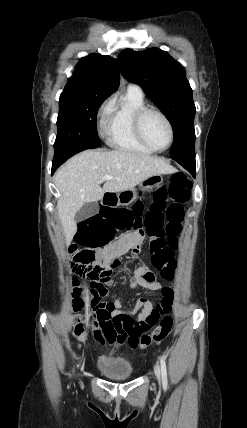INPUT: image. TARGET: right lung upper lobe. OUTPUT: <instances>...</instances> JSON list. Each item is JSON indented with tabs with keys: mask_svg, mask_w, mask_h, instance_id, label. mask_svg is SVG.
<instances>
[{
	"mask_svg": "<svg viewBox=\"0 0 247 428\" xmlns=\"http://www.w3.org/2000/svg\"><path fill=\"white\" fill-rule=\"evenodd\" d=\"M117 61L110 56L91 54L82 58L61 95L90 93L110 96L119 86Z\"/></svg>",
	"mask_w": 247,
	"mask_h": 428,
	"instance_id": "obj_1",
	"label": "right lung upper lobe"
}]
</instances>
